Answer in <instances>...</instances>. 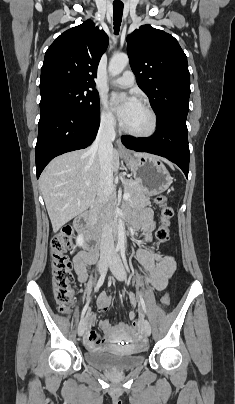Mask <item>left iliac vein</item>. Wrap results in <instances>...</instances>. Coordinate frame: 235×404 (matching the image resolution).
I'll return each mask as SVG.
<instances>
[{
    "instance_id": "left-iliac-vein-1",
    "label": "left iliac vein",
    "mask_w": 235,
    "mask_h": 404,
    "mask_svg": "<svg viewBox=\"0 0 235 404\" xmlns=\"http://www.w3.org/2000/svg\"><path fill=\"white\" fill-rule=\"evenodd\" d=\"M110 270L112 271L115 278L119 281H124L126 279V272L124 266L121 262L120 256L115 254L109 263ZM143 330L147 336L151 334V326L146 319H143Z\"/></svg>"
}]
</instances>
